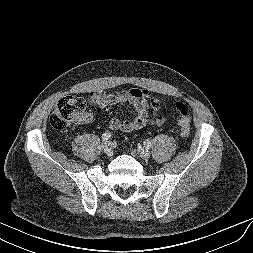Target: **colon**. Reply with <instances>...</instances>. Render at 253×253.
Here are the masks:
<instances>
[{
  "mask_svg": "<svg viewBox=\"0 0 253 253\" xmlns=\"http://www.w3.org/2000/svg\"><path fill=\"white\" fill-rule=\"evenodd\" d=\"M87 100L82 96H64L56 104L51 115L50 123L54 129L66 130L83 121L87 116ZM174 107L178 113L177 122L182 137L190 134L191 115L188 108L181 102H176Z\"/></svg>",
  "mask_w": 253,
  "mask_h": 253,
  "instance_id": "colon-1",
  "label": "colon"
}]
</instances>
